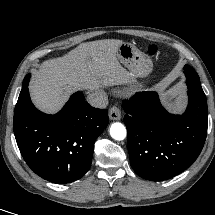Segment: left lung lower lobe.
<instances>
[{
    "instance_id": "1",
    "label": "left lung lower lobe",
    "mask_w": 215,
    "mask_h": 215,
    "mask_svg": "<svg viewBox=\"0 0 215 215\" xmlns=\"http://www.w3.org/2000/svg\"><path fill=\"white\" fill-rule=\"evenodd\" d=\"M188 107L168 113L156 92L137 93L123 103L128 151L134 171L151 181L170 179L199 156L207 135L208 108L200 81L187 78Z\"/></svg>"
}]
</instances>
